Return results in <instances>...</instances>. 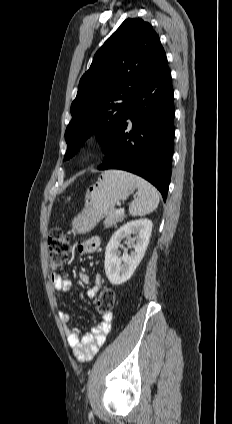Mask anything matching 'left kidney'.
<instances>
[{
	"label": "left kidney",
	"instance_id": "1",
	"mask_svg": "<svg viewBox=\"0 0 232 424\" xmlns=\"http://www.w3.org/2000/svg\"><path fill=\"white\" fill-rule=\"evenodd\" d=\"M153 223L149 219L129 221L121 226L111 237L105 251V273L113 285H120L128 281L141 262L149 244ZM131 234H138L132 241L134 251L129 255L127 249L120 257L118 248L124 238ZM136 241V243H135Z\"/></svg>",
	"mask_w": 232,
	"mask_h": 424
}]
</instances>
